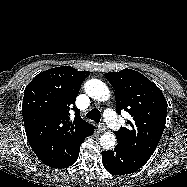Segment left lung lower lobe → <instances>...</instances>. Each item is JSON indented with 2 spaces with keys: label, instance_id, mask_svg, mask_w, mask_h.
<instances>
[{
  "label": "left lung lower lobe",
  "instance_id": "obj_1",
  "mask_svg": "<svg viewBox=\"0 0 187 187\" xmlns=\"http://www.w3.org/2000/svg\"><path fill=\"white\" fill-rule=\"evenodd\" d=\"M149 156L132 152L117 142L114 150L102 151V163L105 169L114 175H127L140 169Z\"/></svg>",
  "mask_w": 187,
  "mask_h": 187
}]
</instances>
